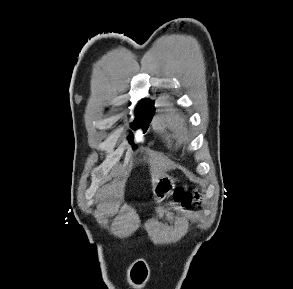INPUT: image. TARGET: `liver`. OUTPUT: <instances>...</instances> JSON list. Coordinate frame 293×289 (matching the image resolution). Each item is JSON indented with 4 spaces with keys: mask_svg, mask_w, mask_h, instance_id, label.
Segmentation results:
<instances>
[{
    "mask_svg": "<svg viewBox=\"0 0 293 289\" xmlns=\"http://www.w3.org/2000/svg\"><path fill=\"white\" fill-rule=\"evenodd\" d=\"M165 164L166 162L158 156H152V162H150V174L153 186H155L158 180L163 177ZM122 187V182L114 180L110 184L106 185L102 191L110 197H120L119 191H121Z\"/></svg>",
    "mask_w": 293,
    "mask_h": 289,
    "instance_id": "liver-1",
    "label": "liver"
}]
</instances>
